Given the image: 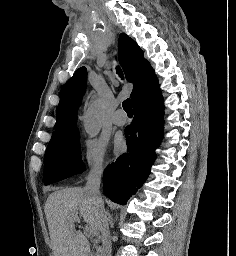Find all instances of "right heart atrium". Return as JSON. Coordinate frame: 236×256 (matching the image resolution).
I'll return each instance as SVG.
<instances>
[{
  "mask_svg": "<svg viewBox=\"0 0 236 256\" xmlns=\"http://www.w3.org/2000/svg\"><path fill=\"white\" fill-rule=\"evenodd\" d=\"M82 163L85 177H100L106 166L105 144L96 139L88 140L84 145Z\"/></svg>",
  "mask_w": 236,
  "mask_h": 256,
  "instance_id": "d8ad5b80",
  "label": "right heart atrium"
}]
</instances>
